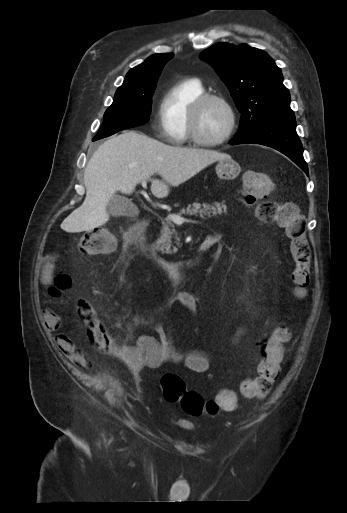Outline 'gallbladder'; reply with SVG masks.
<instances>
[{"mask_svg":"<svg viewBox=\"0 0 347 513\" xmlns=\"http://www.w3.org/2000/svg\"><path fill=\"white\" fill-rule=\"evenodd\" d=\"M107 211L114 217H134L138 214V208L131 200L114 195L107 204Z\"/></svg>","mask_w":347,"mask_h":513,"instance_id":"obj_1","label":"gallbladder"}]
</instances>
